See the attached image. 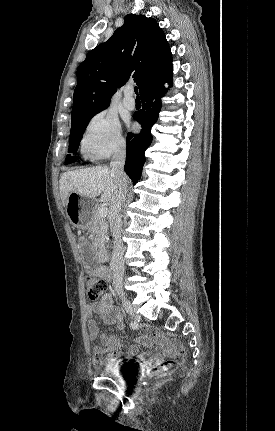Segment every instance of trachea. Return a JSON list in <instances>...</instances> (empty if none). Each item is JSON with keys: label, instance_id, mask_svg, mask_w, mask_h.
<instances>
[{"label": "trachea", "instance_id": "1", "mask_svg": "<svg viewBox=\"0 0 275 431\" xmlns=\"http://www.w3.org/2000/svg\"><path fill=\"white\" fill-rule=\"evenodd\" d=\"M134 91L137 94V96L139 97V95H138V87H134Z\"/></svg>", "mask_w": 275, "mask_h": 431}]
</instances>
